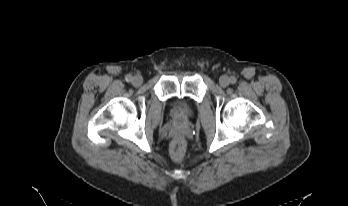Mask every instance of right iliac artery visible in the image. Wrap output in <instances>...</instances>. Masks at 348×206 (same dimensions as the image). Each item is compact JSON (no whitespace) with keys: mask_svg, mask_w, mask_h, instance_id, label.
Listing matches in <instances>:
<instances>
[{"mask_svg":"<svg viewBox=\"0 0 348 206\" xmlns=\"http://www.w3.org/2000/svg\"><path fill=\"white\" fill-rule=\"evenodd\" d=\"M132 79H133V77H132L131 75H127V76L125 77V80H126L127 82H131Z\"/></svg>","mask_w":348,"mask_h":206,"instance_id":"obj_1","label":"right iliac artery"}]
</instances>
